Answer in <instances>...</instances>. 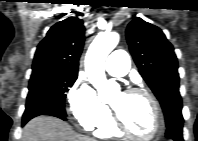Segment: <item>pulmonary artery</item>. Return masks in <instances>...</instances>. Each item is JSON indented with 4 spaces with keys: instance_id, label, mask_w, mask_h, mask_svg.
<instances>
[{
    "instance_id": "1",
    "label": "pulmonary artery",
    "mask_w": 198,
    "mask_h": 141,
    "mask_svg": "<svg viewBox=\"0 0 198 141\" xmlns=\"http://www.w3.org/2000/svg\"><path fill=\"white\" fill-rule=\"evenodd\" d=\"M129 68V55L121 49L112 51L105 61V69L114 76H124Z\"/></svg>"
}]
</instances>
